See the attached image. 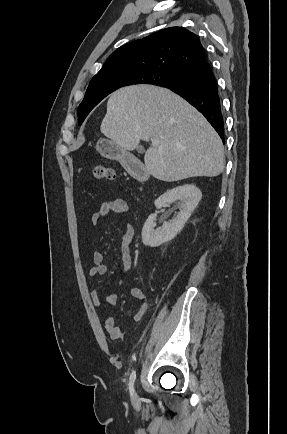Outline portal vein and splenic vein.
<instances>
[{
  "label": "portal vein and splenic vein",
  "mask_w": 287,
  "mask_h": 434,
  "mask_svg": "<svg viewBox=\"0 0 287 434\" xmlns=\"http://www.w3.org/2000/svg\"><path fill=\"white\" fill-rule=\"evenodd\" d=\"M152 144L157 145L158 143H157V141H152Z\"/></svg>",
  "instance_id": "18ae733b"
}]
</instances>
